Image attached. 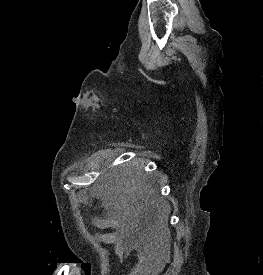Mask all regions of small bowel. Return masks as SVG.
<instances>
[{"label":"small bowel","mask_w":263,"mask_h":275,"mask_svg":"<svg viewBox=\"0 0 263 275\" xmlns=\"http://www.w3.org/2000/svg\"><path fill=\"white\" fill-rule=\"evenodd\" d=\"M94 225L98 228H108L112 225V222L96 219ZM95 238L98 241L114 244L115 251L121 259L130 251L137 250V260L132 269L125 275H153V272L157 270V267L149 261L144 250L123 231L100 233Z\"/></svg>","instance_id":"c3829d8e"}]
</instances>
